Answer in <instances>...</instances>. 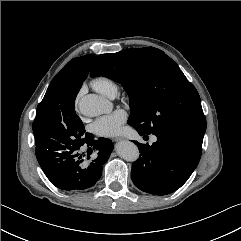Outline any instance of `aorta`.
Returning <instances> with one entry per match:
<instances>
[{
	"label": "aorta",
	"instance_id": "1",
	"mask_svg": "<svg viewBox=\"0 0 241 241\" xmlns=\"http://www.w3.org/2000/svg\"><path fill=\"white\" fill-rule=\"evenodd\" d=\"M111 108L109 101L96 94H87L78 101V109L84 116L95 117L108 112ZM118 155L126 161L134 162L139 158V149L131 141H121L116 145Z\"/></svg>",
	"mask_w": 241,
	"mask_h": 241
}]
</instances>
